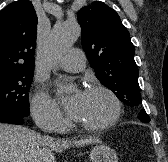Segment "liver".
I'll return each instance as SVG.
<instances>
[{"label": "liver", "mask_w": 168, "mask_h": 162, "mask_svg": "<svg viewBox=\"0 0 168 162\" xmlns=\"http://www.w3.org/2000/svg\"><path fill=\"white\" fill-rule=\"evenodd\" d=\"M95 143L99 140L91 137L75 141L54 139L25 127L0 123V162H56L53 152Z\"/></svg>", "instance_id": "liver-1"}]
</instances>
